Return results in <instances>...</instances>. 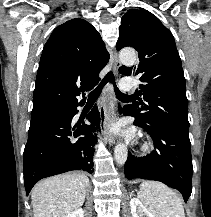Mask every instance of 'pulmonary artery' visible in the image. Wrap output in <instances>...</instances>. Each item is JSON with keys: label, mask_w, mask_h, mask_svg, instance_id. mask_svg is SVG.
<instances>
[{"label": "pulmonary artery", "mask_w": 211, "mask_h": 217, "mask_svg": "<svg viewBox=\"0 0 211 217\" xmlns=\"http://www.w3.org/2000/svg\"><path fill=\"white\" fill-rule=\"evenodd\" d=\"M119 86L121 91L124 93L131 92L133 90V82L128 78L122 79Z\"/></svg>", "instance_id": "e3ab8cb5"}]
</instances>
